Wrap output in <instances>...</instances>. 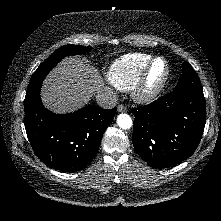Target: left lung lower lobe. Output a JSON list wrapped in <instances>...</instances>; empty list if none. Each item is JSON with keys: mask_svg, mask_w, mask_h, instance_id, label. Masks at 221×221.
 Wrapping results in <instances>:
<instances>
[{"mask_svg": "<svg viewBox=\"0 0 221 221\" xmlns=\"http://www.w3.org/2000/svg\"><path fill=\"white\" fill-rule=\"evenodd\" d=\"M132 143L150 167L168 168L189 158L206 122L204 95L171 92L135 108Z\"/></svg>", "mask_w": 221, "mask_h": 221, "instance_id": "0a47b994", "label": "left lung lower lobe"}]
</instances>
